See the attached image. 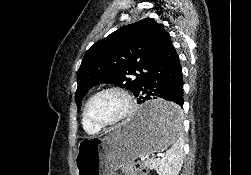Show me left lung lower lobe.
Here are the masks:
<instances>
[{
  "label": "left lung lower lobe",
  "instance_id": "1",
  "mask_svg": "<svg viewBox=\"0 0 251 175\" xmlns=\"http://www.w3.org/2000/svg\"><path fill=\"white\" fill-rule=\"evenodd\" d=\"M134 95L138 96V103L163 98L176 104H165L143 110L140 113V120L143 122L167 124L175 123L181 118V108L184 103L182 68L171 37L146 72Z\"/></svg>",
  "mask_w": 251,
  "mask_h": 175
}]
</instances>
